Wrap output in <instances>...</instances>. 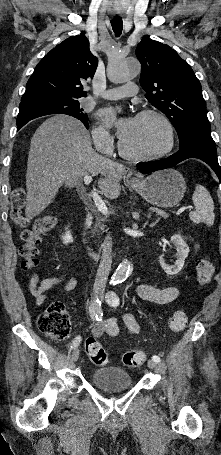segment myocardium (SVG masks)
<instances>
[{
	"mask_svg": "<svg viewBox=\"0 0 221 455\" xmlns=\"http://www.w3.org/2000/svg\"><path fill=\"white\" fill-rule=\"evenodd\" d=\"M147 116H152L157 118L162 125L165 128L166 131V136H167V142L165 146L157 151L154 152H149V153H135L130 150H128L124 144L122 139L119 140L118 142V149L119 152L122 156L135 160V161H149V160H155L159 159L161 157H164L168 153H170L175 145V131L172 122L170 119L163 114L162 112L156 110V109H144L140 111L137 115L136 118H142V117H147Z\"/></svg>",
	"mask_w": 221,
	"mask_h": 455,
	"instance_id": "1",
	"label": "myocardium"
}]
</instances>
